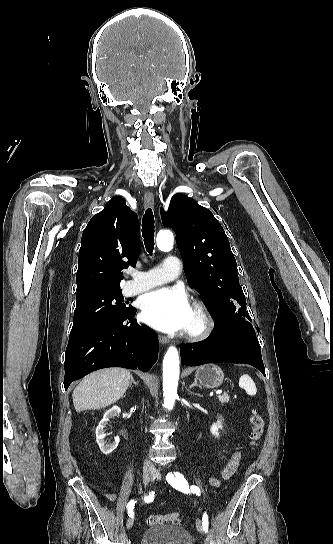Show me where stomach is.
<instances>
[{"label":"stomach","instance_id":"1","mask_svg":"<svg viewBox=\"0 0 333 544\" xmlns=\"http://www.w3.org/2000/svg\"><path fill=\"white\" fill-rule=\"evenodd\" d=\"M196 379L204 387L213 389L219 387L224 380V373L221 368L215 364H205L196 371Z\"/></svg>","mask_w":333,"mask_h":544}]
</instances>
